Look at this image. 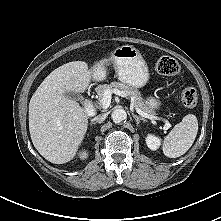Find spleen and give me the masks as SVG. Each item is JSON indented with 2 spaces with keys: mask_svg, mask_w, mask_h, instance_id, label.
<instances>
[{
  "mask_svg": "<svg viewBox=\"0 0 221 221\" xmlns=\"http://www.w3.org/2000/svg\"><path fill=\"white\" fill-rule=\"evenodd\" d=\"M198 132V120L195 115L188 114L175 125L164 138L162 150L165 156L177 158L185 154L193 145Z\"/></svg>",
  "mask_w": 221,
  "mask_h": 221,
  "instance_id": "obj_1",
  "label": "spleen"
}]
</instances>
